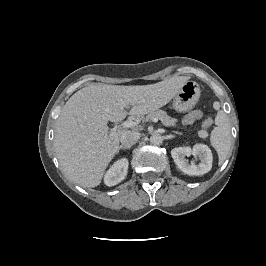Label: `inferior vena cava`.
I'll return each instance as SVG.
<instances>
[{
    "instance_id": "602c4592",
    "label": "inferior vena cava",
    "mask_w": 266,
    "mask_h": 266,
    "mask_svg": "<svg viewBox=\"0 0 266 266\" xmlns=\"http://www.w3.org/2000/svg\"><path fill=\"white\" fill-rule=\"evenodd\" d=\"M140 139V133L136 131H126L121 135L120 141L122 146L131 148Z\"/></svg>"
}]
</instances>
